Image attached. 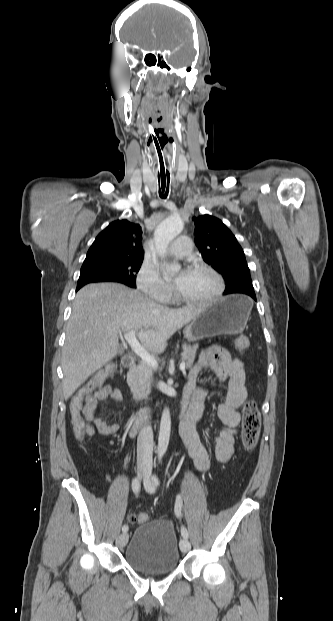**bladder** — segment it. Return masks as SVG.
<instances>
[{"mask_svg":"<svg viewBox=\"0 0 333 621\" xmlns=\"http://www.w3.org/2000/svg\"><path fill=\"white\" fill-rule=\"evenodd\" d=\"M178 538L174 524L166 519H149L133 532L125 549V560L134 570L164 575L179 563Z\"/></svg>","mask_w":333,"mask_h":621,"instance_id":"31cf9c89","label":"bladder"}]
</instances>
